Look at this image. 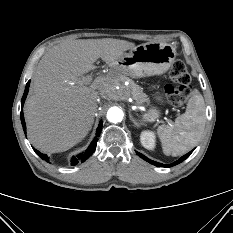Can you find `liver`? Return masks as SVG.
<instances>
[{
	"mask_svg": "<svg viewBox=\"0 0 233 233\" xmlns=\"http://www.w3.org/2000/svg\"><path fill=\"white\" fill-rule=\"evenodd\" d=\"M133 42L103 38L66 40L50 48L38 63L24 105L29 140L42 152H63L89 132L97 99L107 96L111 80L97 77L86 84L81 78L101 58L113 65Z\"/></svg>",
	"mask_w": 233,
	"mask_h": 233,
	"instance_id": "1",
	"label": "liver"
}]
</instances>
